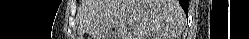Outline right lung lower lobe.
Listing matches in <instances>:
<instances>
[{
    "label": "right lung lower lobe",
    "instance_id": "98d812e1",
    "mask_svg": "<svg viewBox=\"0 0 249 39\" xmlns=\"http://www.w3.org/2000/svg\"><path fill=\"white\" fill-rule=\"evenodd\" d=\"M180 5L184 9L185 13H188L189 0H180Z\"/></svg>",
    "mask_w": 249,
    "mask_h": 39
}]
</instances>
